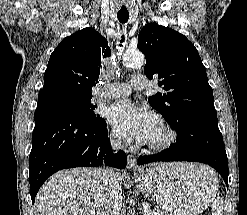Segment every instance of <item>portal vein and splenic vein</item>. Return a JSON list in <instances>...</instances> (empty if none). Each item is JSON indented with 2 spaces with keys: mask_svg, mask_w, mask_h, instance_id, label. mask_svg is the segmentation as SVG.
Wrapping results in <instances>:
<instances>
[{
  "mask_svg": "<svg viewBox=\"0 0 247 215\" xmlns=\"http://www.w3.org/2000/svg\"><path fill=\"white\" fill-rule=\"evenodd\" d=\"M143 208H144V210H148V208L145 205H143Z\"/></svg>",
  "mask_w": 247,
  "mask_h": 215,
  "instance_id": "1",
  "label": "portal vein and splenic vein"
}]
</instances>
